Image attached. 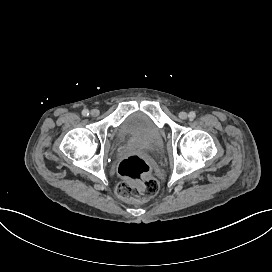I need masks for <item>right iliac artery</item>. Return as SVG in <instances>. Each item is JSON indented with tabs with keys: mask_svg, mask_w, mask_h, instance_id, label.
I'll use <instances>...</instances> for the list:
<instances>
[{
	"mask_svg": "<svg viewBox=\"0 0 272 272\" xmlns=\"http://www.w3.org/2000/svg\"><path fill=\"white\" fill-rule=\"evenodd\" d=\"M82 115L85 116V117L88 116L89 115V111L87 109H84L82 111Z\"/></svg>",
	"mask_w": 272,
	"mask_h": 272,
	"instance_id": "obj_1",
	"label": "right iliac artery"
}]
</instances>
